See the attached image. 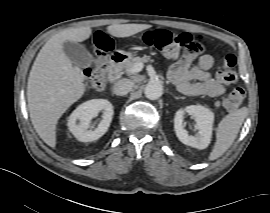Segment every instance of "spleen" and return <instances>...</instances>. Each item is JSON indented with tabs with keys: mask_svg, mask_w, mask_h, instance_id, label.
Listing matches in <instances>:
<instances>
[{
	"mask_svg": "<svg viewBox=\"0 0 270 213\" xmlns=\"http://www.w3.org/2000/svg\"><path fill=\"white\" fill-rule=\"evenodd\" d=\"M247 115V110L241 108L225 116L216 129V142L209 155V160L221 157L233 144Z\"/></svg>",
	"mask_w": 270,
	"mask_h": 213,
	"instance_id": "obj_1",
	"label": "spleen"
}]
</instances>
